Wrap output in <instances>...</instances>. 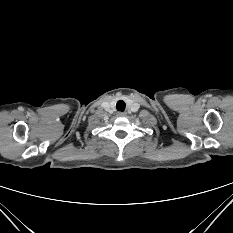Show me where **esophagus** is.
Here are the masks:
<instances>
[{"instance_id": "obj_1", "label": "esophagus", "mask_w": 233, "mask_h": 233, "mask_svg": "<svg viewBox=\"0 0 233 233\" xmlns=\"http://www.w3.org/2000/svg\"><path fill=\"white\" fill-rule=\"evenodd\" d=\"M118 116L124 117V116H126V112H118Z\"/></svg>"}]
</instances>
